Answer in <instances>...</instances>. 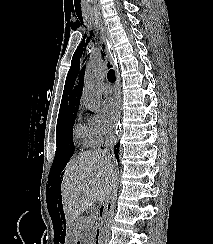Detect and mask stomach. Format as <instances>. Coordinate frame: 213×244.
I'll list each match as a JSON object with an SVG mask.
<instances>
[{
    "label": "stomach",
    "instance_id": "obj_1",
    "mask_svg": "<svg viewBox=\"0 0 213 244\" xmlns=\"http://www.w3.org/2000/svg\"><path fill=\"white\" fill-rule=\"evenodd\" d=\"M78 226H80V221H69V223L65 224L68 234L67 239H63V244H75V239L81 238V229Z\"/></svg>",
    "mask_w": 213,
    "mask_h": 244
}]
</instances>
